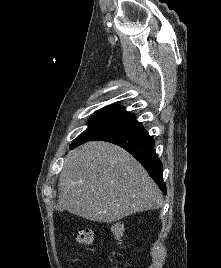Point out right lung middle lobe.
Here are the masks:
<instances>
[{
  "label": "right lung middle lobe",
  "mask_w": 221,
  "mask_h": 268,
  "mask_svg": "<svg viewBox=\"0 0 221 268\" xmlns=\"http://www.w3.org/2000/svg\"><path fill=\"white\" fill-rule=\"evenodd\" d=\"M126 122V119L123 117L97 111L89 120L88 128L73 141L70 149H73L89 139Z\"/></svg>",
  "instance_id": "dd1d6c3e"
}]
</instances>
